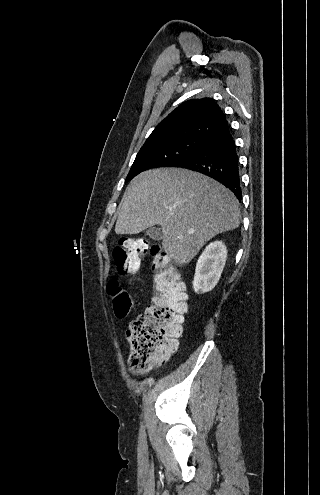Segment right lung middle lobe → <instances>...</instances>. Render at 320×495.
Listing matches in <instances>:
<instances>
[{
	"instance_id": "1",
	"label": "right lung middle lobe",
	"mask_w": 320,
	"mask_h": 495,
	"mask_svg": "<svg viewBox=\"0 0 320 495\" xmlns=\"http://www.w3.org/2000/svg\"><path fill=\"white\" fill-rule=\"evenodd\" d=\"M206 139L187 138L152 146H143L127 175L125 182L139 173L157 167H175L189 159Z\"/></svg>"
}]
</instances>
